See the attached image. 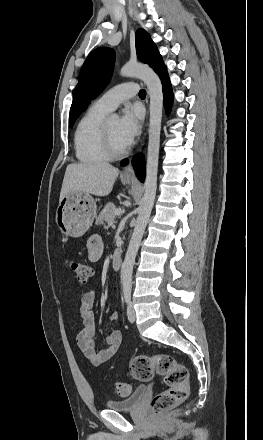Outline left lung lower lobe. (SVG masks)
Segmentation results:
<instances>
[{
	"label": "left lung lower lobe",
	"mask_w": 263,
	"mask_h": 440,
	"mask_svg": "<svg viewBox=\"0 0 263 440\" xmlns=\"http://www.w3.org/2000/svg\"><path fill=\"white\" fill-rule=\"evenodd\" d=\"M155 71L159 74V76L162 80L163 92H164V103H165L167 110H169L171 107V104H172V88H171V84H170V80L168 77L166 66L163 64V65L159 66ZM127 163H128V160H123L122 166L126 165ZM134 164H135L136 174H137L139 180L142 181L144 178L142 158L138 157L137 159H135Z\"/></svg>",
	"instance_id": "0a47b994"
}]
</instances>
